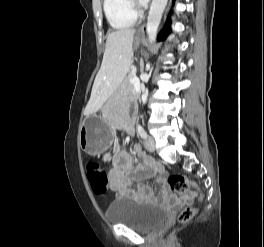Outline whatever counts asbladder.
I'll use <instances>...</instances> for the list:
<instances>
[{
  "instance_id": "31cf9c89",
  "label": "bladder",
  "mask_w": 264,
  "mask_h": 247,
  "mask_svg": "<svg viewBox=\"0 0 264 247\" xmlns=\"http://www.w3.org/2000/svg\"><path fill=\"white\" fill-rule=\"evenodd\" d=\"M106 219L109 223L122 224L136 231L151 232L163 225L168 215L157 205L123 198L109 204Z\"/></svg>"
}]
</instances>
